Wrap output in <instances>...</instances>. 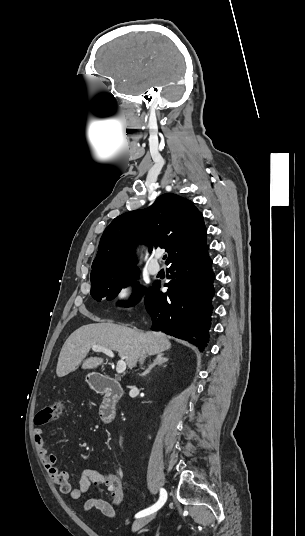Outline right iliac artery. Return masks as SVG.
<instances>
[{"instance_id":"1","label":"right iliac artery","mask_w":305,"mask_h":536,"mask_svg":"<svg viewBox=\"0 0 305 536\" xmlns=\"http://www.w3.org/2000/svg\"><path fill=\"white\" fill-rule=\"evenodd\" d=\"M166 499H167V492H166L165 489L162 488V489H160V498H159L158 502L156 504H154L153 506L140 511L139 513H137L135 515V517L139 518V517H143V516L149 515L151 513H154L155 511H157L158 509H160L163 506V504L165 503Z\"/></svg>"}]
</instances>
